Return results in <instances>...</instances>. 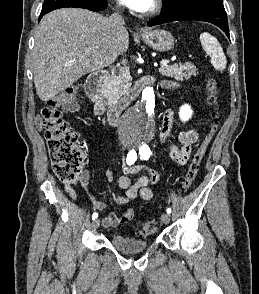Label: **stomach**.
Returning a JSON list of instances; mask_svg holds the SVG:
<instances>
[{"label":"stomach","mask_w":259,"mask_h":294,"mask_svg":"<svg viewBox=\"0 0 259 294\" xmlns=\"http://www.w3.org/2000/svg\"><path fill=\"white\" fill-rule=\"evenodd\" d=\"M140 36L148 46L158 52H167L174 47L172 34L165 30L145 31Z\"/></svg>","instance_id":"0dacf381"}]
</instances>
